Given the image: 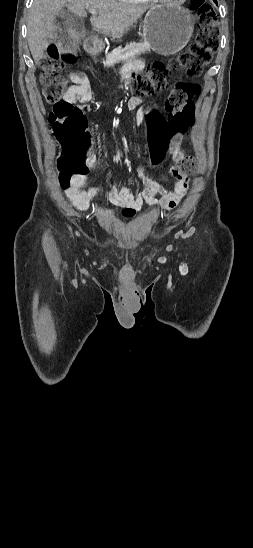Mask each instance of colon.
Listing matches in <instances>:
<instances>
[{
    "instance_id": "1",
    "label": "colon",
    "mask_w": 253,
    "mask_h": 548,
    "mask_svg": "<svg viewBox=\"0 0 253 548\" xmlns=\"http://www.w3.org/2000/svg\"><path fill=\"white\" fill-rule=\"evenodd\" d=\"M197 8L200 32L196 41L180 52L169 64L153 62L144 73L136 74L132 91L135 96H152L168 87L167 76L176 71L185 77H194L202 73L210 62L218 44L219 27L212 7L205 0H191ZM73 43L52 46L48 54L40 61L42 68L40 82L45 100L53 104L50 113L52 130L62 145L57 161L59 179L62 186L70 184L75 176L86 175L89 171L86 160L91 145V136L87 131L86 118L82 110L65 101L67 80L64 77L66 65L74 61ZM197 84L179 83L171 92L166 104H156L150 127L146 134L150 139V164L155 166L165 159L164 138L182 137L195 119L194 98L199 94ZM196 160L183 153L172 167L174 172L188 175L195 171Z\"/></svg>"
}]
</instances>
